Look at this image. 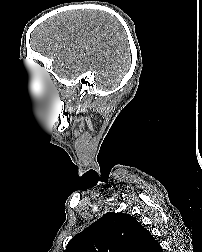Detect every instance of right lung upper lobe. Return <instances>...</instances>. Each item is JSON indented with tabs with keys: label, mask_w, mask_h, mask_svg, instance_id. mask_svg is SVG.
I'll return each mask as SVG.
<instances>
[{
	"label": "right lung upper lobe",
	"mask_w": 202,
	"mask_h": 252,
	"mask_svg": "<svg viewBox=\"0 0 202 252\" xmlns=\"http://www.w3.org/2000/svg\"><path fill=\"white\" fill-rule=\"evenodd\" d=\"M64 252H163L133 216L109 212L75 235Z\"/></svg>",
	"instance_id": "right-lung-upper-lobe-1"
}]
</instances>
